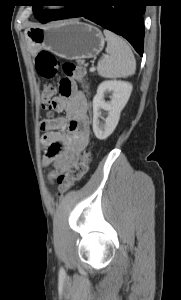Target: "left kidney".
<instances>
[{
	"label": "left kidney",
	"instance_id": "1",
	"mask_svg": "<svg viewBox=\"0 0 181 300\" xmlns=\"http://www.w3.org/2000/svg\"><path fill=\"white\" fill-rule=\"evenodd\" d=\"M111 93L110 102H105L104 94ZM132 92V84L121 80H107L100 83L93 98V132L99 140H105L115 130L120 113L127 104ZM100 109L107 111L105 123L99 121Z\"/></svg>",
	"mask_w": 181,
	"mask_h": 300
}]
</instances>
